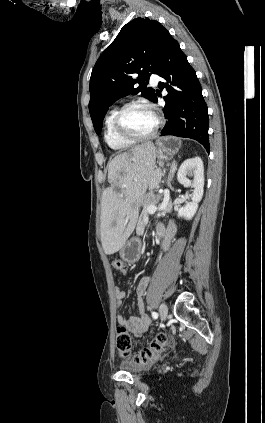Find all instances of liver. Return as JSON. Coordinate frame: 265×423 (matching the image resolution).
<instances>
[{
    "label": "liver",
    "instance_id": "obj_1",
    "mask_svg": "<svg viewBox=\"0 0 265 423\" xmlns=\"http://www.w3.org/2000/svg\"><path fill=\"white\" fill-rule=\"evenodd\" d=\"M157 149L152 142L137 145L108 163L107 188L101 203V243L105 254L121 250L132 234L147 189L160 183Z\"/></svg>",
    "mask_w": 265,
    "mask_h": 423
}]
</instances>
